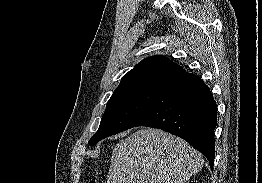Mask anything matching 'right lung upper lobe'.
Returning <instances> with one entry per match:
<instances>
[{
    "label": "right lung upper lobe",
    "mask_w": 262,
    "mask_h": 183,
    "mask_svg": "<svg viewBox=\"0 0 262 183\" xmlns=\"http://www.w3.org/2000/svg\"><path fill=\"white\" fill-rule=\"evenodd\" d=\"M187 74L186 70L161 55L145 58L126 73L114 93L155 90Z\"/></svg>",
    "instance_id": "obj_1"
}]
</instances>
